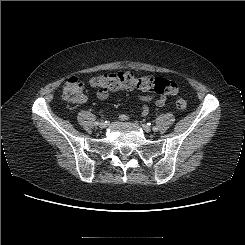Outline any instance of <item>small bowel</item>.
<instances>
[{
    "label": "small bowel",
    "instance_id": "small-bowel-1",
    "mask_svg": "<svg viewBox=\"0 0 245 245\" xmlns=\"http://www.w3.org/2000/svg\"><path fill=\"white\" fill-rule=\"evenodd\" d=\"M128 91H133L134 89H127ZM97 98L100 100H105L109 97V92H105V91H101L98 90L97 91ZM137 98L141 101H143L145 104L142 106L141 108V115L143 117L147 116L149 113V107H148V103L154 101L155 105L158 107H162L165 105L166 103V97L165 96H161L157 99H154V97L148 93H140L137 94ZM120 119L125 121L128 119V116L126 114H121L120 115Z\"/></svg>",
    "mask_w": 245,
    "mask_h": 245
}]
</instances>
